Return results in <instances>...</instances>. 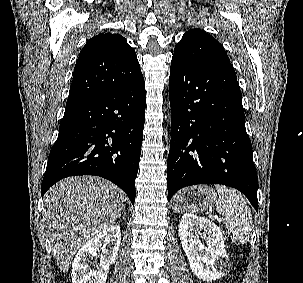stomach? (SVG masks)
Masks as SVG:
<instances>
[{"instance_id": "obj_1", "label": "stomach", "mask_w": 303, "mask_h": 283, "mask_svg": "<svg viewBox=\"0 0 303 283\" xmlns=\"http://www.w3.org/2000/svg\"><path fill=\"white\" fill-rule=\"evenodd\" d=\"M217 200V194L208 186H193L181 190L174 198L175 212H201L211 208Z\"/></svg>"}]
</instances>
